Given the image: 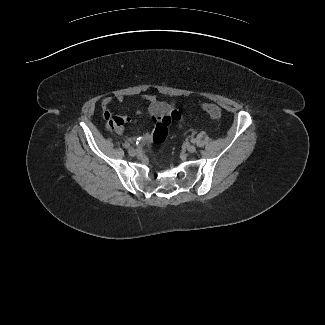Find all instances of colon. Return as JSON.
I'll use <instances>...</instances> for the list:
<instances>
[{"mask_svg":"<svg viewBox=\"0 0 325 325\" xmlns=\"http://www.w3.org/2000/svg\"><path fill=\"white\" fill-rule=\"evenodd\" d=\"M200 107L205 110L212 118L220 119L221 111L218 106L211 103H201Z\"/></svg>","mask_w":325,"mask_h":325,"instance_id":"colon-1","label":"colon"}]
</instances>
